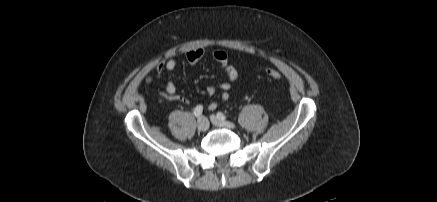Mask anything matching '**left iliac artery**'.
<instances>
[{
    "label": "left iliac artery",
    "mask_w": 437,
    "mask_h": 202,
    "mask_svg": "<svg viewBox=\"0 0 437 202\" xmlns=\"http://www.w3.org/2000/svg\"><path fill=\"white\" fill-rule=\"evenodd\" d=\"M217 117H218L219 119H221V120L226 119V116H225L222 112H218V113H217Z\"/></svg>",
    "instance_id": "44dca946"
}]
</instances>
